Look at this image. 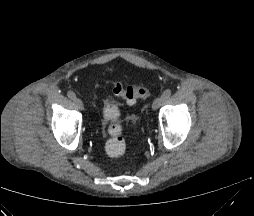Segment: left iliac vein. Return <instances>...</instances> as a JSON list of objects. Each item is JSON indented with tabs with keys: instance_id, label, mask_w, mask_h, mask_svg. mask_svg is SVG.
<instances>
[{
	"instance_id": "obj_1",
	"label": "left iliac vein",
	"mask_w": 254,
	"mask_h": 216,
	"mask_svg": "<svg viewBox=\"0 0 254 216\" xmlns=\"http://www.w3.org/2000/svg\"><path fill=\"white\" fill-rule=\"evenodd\" d=\"M164 101H165V99L162 96L155 99L154 102L152 103V109L157 110L162 105V103Z\"/></svg>"
}]
</instances>
